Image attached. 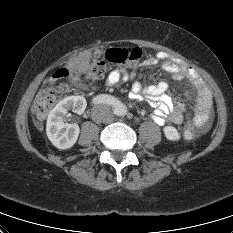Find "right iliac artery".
<instances>
[{
    "label": "right iliac artery",
    "instance_id": "obj_1",
    "mask_svg": "<svg viewBox=\"0 0 233 233\" xmlns=\"http://www.w3.org/2000/svg\"><path fill=\"white\" fill-rule=\"evenodd\" d=\"M117 102L114 97L106 94L97 95L92 99V105L108 104L115 107Z\"/></svg>",
    "mask_w": 233,
    "mask_h": 233
}]
</instances>
